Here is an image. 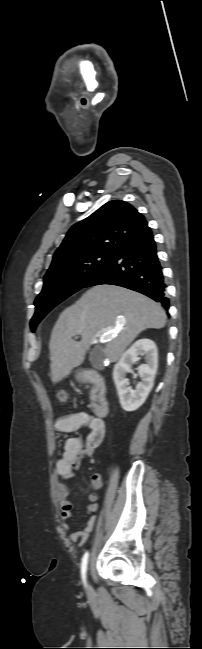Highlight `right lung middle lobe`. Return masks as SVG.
<instances>
[{
	"mask_svg": "<svg viewBox=\"0 0 202 649\" xmlns=\"http://www.w3.org/2000/svg\"><path fill=\"white\" fill-rule=\"evenodd\" d=\"M114 252L90 251L62 261L44 276L42 292L35 300L31 331L60 302L84 285L114 256Z\"/></svg>",
	"mask_w": 202,
	"mask_h": 649,
	"instance_id": "obj_1",
	"label": "right lung middle lobe"
}]
</instances>
